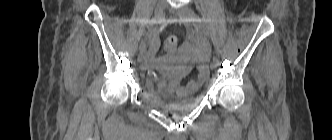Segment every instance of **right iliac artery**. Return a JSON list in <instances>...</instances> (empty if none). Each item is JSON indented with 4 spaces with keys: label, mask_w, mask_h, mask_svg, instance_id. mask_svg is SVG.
Masks as SVG:
<instances>
[{
    "label": "right iliac artery",
    "mask_w": 332,
    "mask_h": 140,
    "mask_svg": "<svg viewBox=\"0 0 332 140\" xmlns=\"http://www.w3.org/2000/svg\"><path fill=\"white\" fill-rule=\"evenodd\" d=\"M157 23V20L156 18H153L149 21L148 25H147V28L145 30V37H150L151 36V33H152V28H153V25Z\"/></svg>",
    "instance_id": "1"
}]
</instances>
